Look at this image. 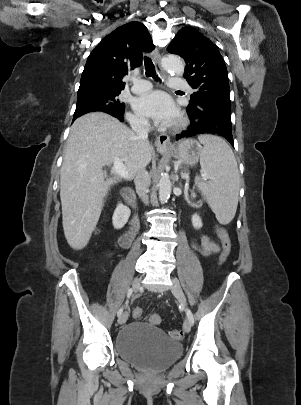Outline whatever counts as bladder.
<instances>
[{
    "mask_svg": "<svg viewBox=\"0 0 301 405\" xmlns=\"http://www.w3.org/2000/svg\"><path fill=\"white\" fill-rule=\"evenodd\" d=\"M115 349L123 360L151 371H162L181 354V344L160 328L131 322L122 327L115 338Z\"/></svg>",
    "mask_w": 301,
    "mask_h": 405,
    "instance_id": "obj_1",
    "label": "bladder"
}]
</instances>
